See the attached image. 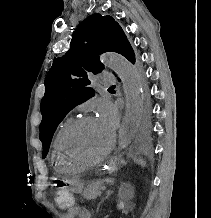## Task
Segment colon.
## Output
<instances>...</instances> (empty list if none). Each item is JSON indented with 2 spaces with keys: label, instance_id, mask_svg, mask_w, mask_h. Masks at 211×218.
Listing matches in <instances>:
<instances>
[{
  "label": "colon",
  "instance_id": "1",
  "mask_svg": "<svg viewBox=\"0 0 211 218\" xmlns=\"http://www.w3.org/2000/svg\"><path fill=\"white\" fill-rule=\"evenodd\" d=\"M55 202L60 208H73L75 206V197L68 187L62 185L56 190Z\"/></svg>",
  "mask_w": 211,
  "mask_h": 218
}]
</instances>
